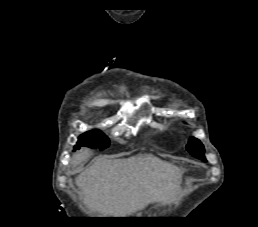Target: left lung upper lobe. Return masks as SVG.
Returning a JSON list of instances; mask_svg holds the SVG:
<instances>
[{"mask_svg": "<svg viewBox=\"0 0 258 227\" xmlns=\"http://www.w3.org/2000/svg\"><path fill=\"white\" fill-rule=\"evenodd\" d=\"M187 150L190 152L191 155L194 157L206 161L204 156V146L203 144L196 138L191 137L189 139V143L186 146Z\"/></svg>", "mask_w": 258, "mask_h": 227, "instance_id": "left-lung-upper-lobe-1", "label": "left lung upper lobe"}]
</instances>
